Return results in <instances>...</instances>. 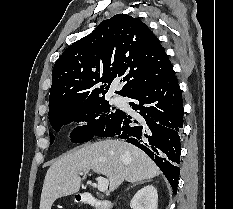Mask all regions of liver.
<instances>
[{
	"label": "liver",
	"mask_w": 233,
	"mask_h": 209,
	"mask_svg": "<svg viewBox=\"0 0 233 209\" xmlns=\"http://www.w3.org/2000/svg\"><path fill=\"white\" fill-rule=\"evenodd\" d=\"M90 170L108 178L111 192L123 181L134 183L160 174L143 151L125 141L107 139L85 144L50 166L44 179L40 209H51L56 199L77 193Z\"/></svg>",
	"instance_id": "6515ba94"
}]
</instances>
